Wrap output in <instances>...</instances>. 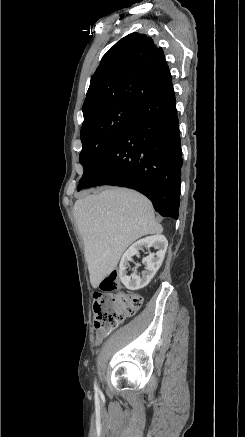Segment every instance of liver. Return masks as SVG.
<instances>
[{"label": "liver", "instance_id": "obj_1", "mask_svg": "<svg viewBox=\"0 0 245 437\" xmlns=\"http://www.w3.org/2000/svg\"><path fill=\"white\" fill-rule=\"evenodd\" d=\"M74 217L84 240L93 288L117 266L127 247L142 236L161 234L151 202L125 188L89 194L74 204Z\"/></svg>", "mask_w": 245, "mask_h": 437}]
</instances>
